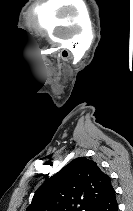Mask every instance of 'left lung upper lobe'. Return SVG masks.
<instances>
[{"instance_id":"1","label":"left lung upper lobe","mask_w":133,"mask_h":211,"mask_svg":"<svg viewBox=\"0 0 133 211\" xmlns=\"http://www.w3.org/2000/svg\"><path fill=\"white\" fill-rule=\"evenodd\" d=\"M112 189L110 177L80 157L47 179L26 211H92Z\"/></svg>"}]
</instances>
